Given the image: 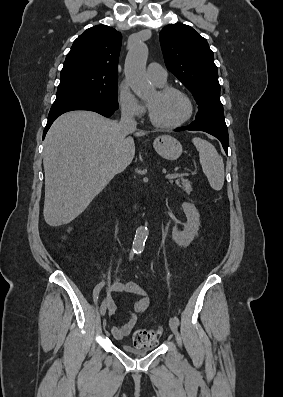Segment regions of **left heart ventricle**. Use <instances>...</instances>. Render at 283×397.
Returning a JSON list of instances; mask_svg holds the SVG:
<instances>
[{"label": "left heart ventricle", "instance_id": "b2bd125f", "mask_svg": "<svg viewBox=\"0 0 283 397\" xmlns=\"http://www.w3.org/2000/svg\"><path fill=\"white\" fill-rule=\"evenodd\" d=\"M155 118L163 123H173L183 119L189 110L186 99L179 93L160 96L157 91L147 100Z\"/></svg>", "mask_w": 283, "mask_h": 397}]
</instances>
